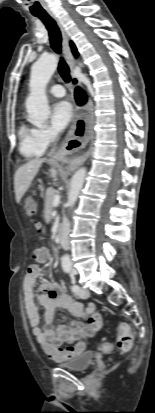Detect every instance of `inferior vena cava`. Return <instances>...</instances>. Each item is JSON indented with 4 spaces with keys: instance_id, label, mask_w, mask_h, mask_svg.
I'll use <instances>...</instances> for the list:
<instances>
[{
    "instance_id": "602c4592",
    "label": "inferior vena cava",
    "mask_w": 155,
    "mask_h": 413,
    "mask_svg": "<svg viewBox=\"0 0 155 413\" xmlns=\"http://www.w3.org/2000/svg\"><path fill=\"white\" fill-rule=\"evenodd\" d=\"M56 138V134L52 133L51 139L54 141ZM70 232V222L69 220L64 217L63 222L61 225V237H60V242L63 248L68 249L69 247V240H68V235Z\"/></svg>"
}]
</instances>
